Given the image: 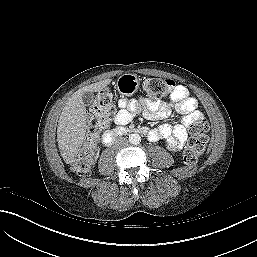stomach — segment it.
I'll return each instance as SVG.
<instances>
[{
    "instance_id": "stomach-1",
    "label": "stomach",
    "mask_w": 257,
    "mask_h": 257,
    "mask_svg": "<svg viewBox=\"0 0 257 257\" xmlns=\"http://www.w3.org/2000/svg\"><path fill=\"white\" fill-rule=\"evenodd\" d=\"M140 79L136 74H123L117 80V90L123 96H131L139 89Z\"/></svg>"
}]
</instances>
